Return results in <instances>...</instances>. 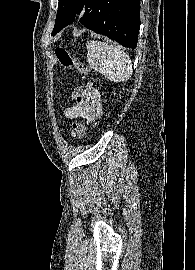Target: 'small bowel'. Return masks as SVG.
Here are the masks:
<instances>
[{
    "mask_svg": "<svg viewBox=\"0 0 195 270\" xmlns=\"http://www.w3.org/2000/svg\"><path fill=\"white\" fill-rule=\"evenodd\" d=\"M64 114L69 119L85 118L89 121L98 119L101 115L100 93L88 84L81 89L77 102L67 107Z\"/></svg>",
    "mask_w": 195,
    "mask_h": 270,
    "instance_id": "small-bowel-1",
    "label": "small bowel"
}]
</instances>
